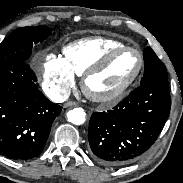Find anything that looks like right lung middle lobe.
<instances>
[{
	"label": "right lung middle lobe",
	"mask_w": 183,
	"mask_h": 183,
	"mask_svg": "<svg viewBox=\"0 0 183 183\" xmlns=\"http://www.w3.org/2000/svg\"><path fill=\"white\" fill-rule=\"evenodd\" d=\"M52 32L45 26H28L13 31L0 44V66L26 62L34 44L44 41Z\"/></svg>",
	"instance_id": "1"
}]
</instances>
